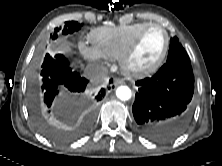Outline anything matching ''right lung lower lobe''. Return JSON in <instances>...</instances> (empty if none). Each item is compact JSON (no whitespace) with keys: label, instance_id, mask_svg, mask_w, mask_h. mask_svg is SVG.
<instances>
[{"label":"right lung lower lobe","instance_id":"98d812e1","mask_svg":"<svg viewBox=\"0 0 222 166\" xmlns=\"http://www.w3.org/2000/svg\"><path fill=\"white\" fill-rule=\"evenodd\" d=\"M40 75L42 79L36 105L44 107L49 112L65 101L80 96L88 83L87 79L72 72L68 60L62 54L54 57L46 54ZM104 96L105 89L102 88L95 98L101 101Z\"/></svg>","mask_w":222,"mask_h":166}]
</instances>
